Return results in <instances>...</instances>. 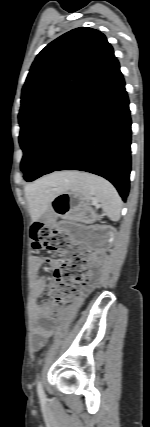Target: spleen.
I'll return each mask as SVG.
<instances>
[{
	"label": "spleen",
	"instance_id": "1",
	"mask_svg": "<svg viewBox=\"0 0 150 427\" xmlns=\"http://www.w3.org/2000/svg\"><path fill=\"white\" fill-rule=\"evenodd\" d=\"M70 189L80 193L86 201L102 208L106 216L117 221L120 218L122 201L114 186L107 180L89 173L74 172Z\"/></svg>",
	"mask_w": 150,
	"mask_h": 427
}]
</instances>
